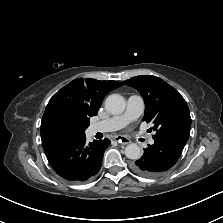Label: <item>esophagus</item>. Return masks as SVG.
<instances>
[{"label":"esophagus","mask_w":223,"mask_h":223,"mask_svg":"<svg viewBox=\"0 0 223 223\" xmlns=\"http://www.w3.org/2000/svg\"><path fill=\"white\" fill-rule=\"evenodd\" d=\"M114 140L117 141L118 143L122 144V145H127L131 142L127 137H125L123 135L115 136Z\"/></svg>","instance_id":"34e87169"}]
</instances>
